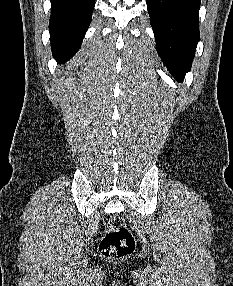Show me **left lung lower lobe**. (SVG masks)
I'll return each mask as SVG.
<instances>
[{
  "mask_svg": "<svg viewBox=\"0 0 233 286\" xmlns=\"http://www.w3.org/2000/svg\"><path fill=\"white\" fill-rule=\"evenodd\" d=\"M156 48L171 74L182 81L199 41L201 0H146Z\"/></svg>",
  "mask_w": 233,
  "mask_h": 286,
  "instance_id": "left-lung-lower-lobe-1",
  "label": "left lung lower lobe"
}]
</instances>
